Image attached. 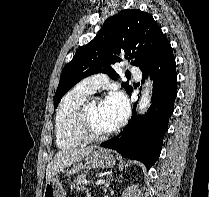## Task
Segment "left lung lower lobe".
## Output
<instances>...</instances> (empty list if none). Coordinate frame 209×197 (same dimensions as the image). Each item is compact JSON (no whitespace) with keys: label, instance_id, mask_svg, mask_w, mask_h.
<instances>
[{"label":"left lung lower lobe","instance_id":"0a47b994","mask_svg":"<svg viewBox=\"0 0 209 197\" xmlns=\"http://www.w3.org/2000/svg\"><path fill=\"white\" fill-rule=\"evenodd\" d=\"M142 80L153 79L152 105L147 114L137 116L135 106L131 120L123 132L101 144L117 150L123 156L141 161L149 170L159 158L168 120L177 96V73L171 45L165 40L151 59L140 67ZM131 91L128 94H131Z\"/></svg>","mask_w":209,"mask_h":197}]
</instances>
